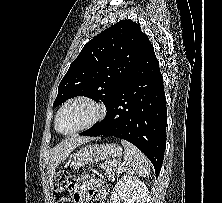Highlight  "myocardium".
Here are the masks:
<instances>
[{
    "label": "myocardium",
    "instance_id": "1",
    "mask_svg": "<svg viewBox=\"0 0 222 203\" xmlns=\"http://www.w3.org/2000/svg\"><path fill=\"white\" fill-rule=\"evenodd\" d=\"M76 102H84V103H87V104H90L91 106H93L96 110V115L95 117L90 121L88 122L87 124L73 130V131H70V132H64L62 131L60 128H59V118L63 112V110L69 106L70 104L72 103H76ZM106 115V108L105 106L98 102L96 99L92 98V97H89V96H84V95H80V96H75L69 100H67L62 106L61 108L59 109L58 113H57V116H56V119H55V128L56 130L63 134V135H67V136H71V135H75L77 133H80V132H83L85 130H88L90 128H92L93 126H95L96 124H98Z\"/></svg>",
    "mask_w": 222,
    "mask_h": 203
}]
</instances>
